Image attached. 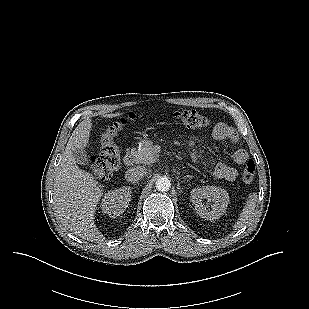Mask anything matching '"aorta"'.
I'll return each mask as SVG.
<instances>
[{"label": "aorta", "mask_w": 309, "mask_h": 309, "mask_svg": "<svg viewBox=\"0 0 309 309\" xmlns=\"http://www.w3.org/2000/svg\"><path fill=\"white\" fill-rule=\"evenodd\" d=\"M171 188V181L168 177H159L156 181V189L158 191H168Z\"/></svg>", "instance_id": "aorta-1"}]
</instances>
